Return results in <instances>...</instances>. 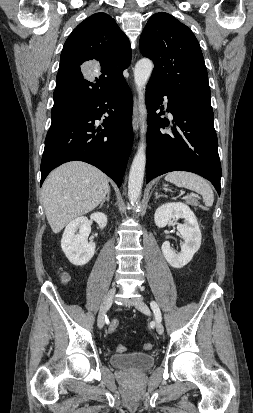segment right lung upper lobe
Returning a JSON list of instances; mask_svg holds the SVG:
<instances>
[{"mask_svg":"<svg viewBox=\"0 0 253 413\" xmlns=\"http://www.w3.org/2000/svg\"><path fill=\"white\" fill-rule=\"evenodd\" d=\"M130 61L129 40L111 16L96 13L85 19L64 44L51 117L72 112L124 82ZM85 62L92 64L94 80L83 77Z\"/></svg>","mask_w":253,"mask_h":413,"instance_id":"obj_1","label":"right lung upper lobe"}]
</instances>
